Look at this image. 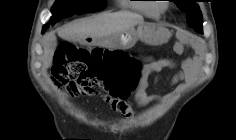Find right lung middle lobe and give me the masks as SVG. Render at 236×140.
Masks as SVG:
<instances>
[{"label": "right lung middle lobe", "mask_w": 236, "mask_h": 140, "mask_svg": "<svg viewBox=\"0 0 236 140\" xmlns=\"http://www.w3.org/2000/svg\"><path fill=\"white\" fill-rule=\"evenodd\" d=\"M105 0H57L52 7V17L43 29L49 28L63 18L74 14H81L88 11H96L104 8Z\"/></svg>", "instance_id": "1"}]
</instances>
